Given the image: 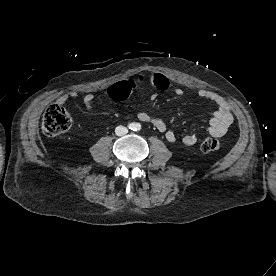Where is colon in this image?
Here are the masks:
<instances>
[{
  "instance_id": "5ec220e1",
  "label": "colon",
  "mask_w": 276,
  "mask_h": 276,
  "mask_svg": "<svg viewBox=\"0 0 276 276\" xmlns=\"http://www.w3.org/2000/svg\"><path fill=\"white\" fill-rule=\"evenodd\" d=\"M72 119L67 110L59 105L52 104L44 112L42 130L45 135L53 137L65 133L71 128ZM221 146L217 138L209 137L203 140L201 150L205 153L219 150Z\"/></svg>"
}]
</instances>
